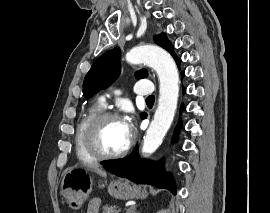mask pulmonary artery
Returning <instances> with one entry per match:
<instances>
[{
	"mask_svg": "<svg viewBox=\"0 0 270 213\" xmlns=\"http://www.w3.org/2000/svg\"><path fill=\"white\" fill-rule=\"evenodd\" d=\"M133 90L136 94L138 95H145V96H150L152 95L153 92V85L150 81H138L134 84ZM106 100L104 97L99 98V105L101 107L105 106Z\"/></svg>",
	"mask_w": 270,
	"mask_h": 213,
	"instance_id": "1",
	"label": "pulmonary artery"
}]
</instances>
